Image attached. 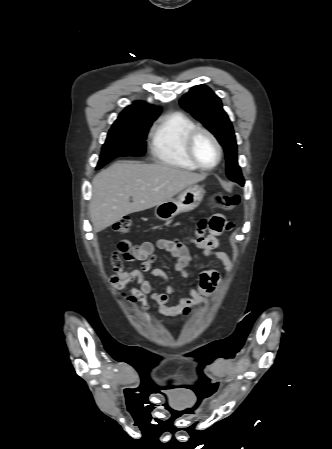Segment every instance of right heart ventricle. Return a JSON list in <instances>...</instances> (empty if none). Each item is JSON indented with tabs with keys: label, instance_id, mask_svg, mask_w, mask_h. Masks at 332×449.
I'll return each mask as SVG.
<instances>
[{
	"label": "right heart ventricle",
	"instance_id": "1",
	"mask_svg": "<svg viewBox=\"0 0 332 449\" xmlns=\"http://www.w3.org/2000/svg\"><path fill=\"white\" fill-rule=\"evenodd\" d=\"M195 126V122L182 112L165 115L151 137L152 155L160 163L169 166L187 170L197 169L185 152V138Z\"/></svg>",
	"mask_w": 332,
	"mask_h": 449
}]
</instances>
